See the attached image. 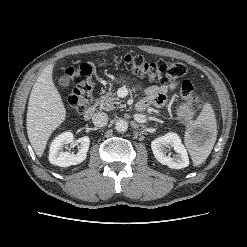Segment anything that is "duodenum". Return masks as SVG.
<instances>
[{"label": "duodenum", "mask_w": 247, "mask_h": 247, "mask_svg": "<svg viewBox=\"0 0 247 247\" xmlns=\"http://www.w3.org/2000/svg\"><path fill=\"white\" fill-rule=\"evenodd\" d=\"M146 107L147 105L142 101L138 102L135 106L137 111H144ZM95 112H96V107L94 105L89 106L84 112V118L86 120H90L95 114Z\"/></svg>", "instance_id": "1"}]
</instances>
